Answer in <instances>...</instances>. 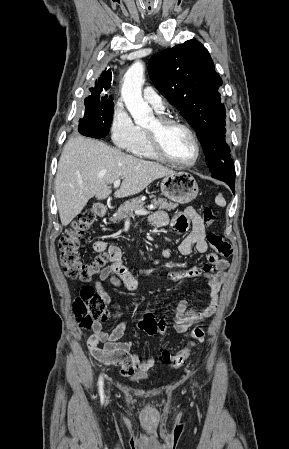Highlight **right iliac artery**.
Here are the masks:
<instances>
[{"mask_svg": "<svg viewBox=\"0 0 289 449\" xmlns=\"http://www.w3.org/2000/svg\"><path fill=\"white\" fill-rule=\"evenodd\" d=\"M98 385H99V393H100L101 397H103V378H102V376H100V378H99Z\"/></svg>", "mask_w": 289, "mask_h": 449, "instance_id": "right-iliac-artery-1", "label": "right iliac artery"}]
</instances>
